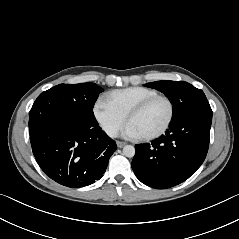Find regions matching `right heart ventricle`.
Returning <instances> with one entry per match:
<instances>
[{
	"instance_id": "1",
	"label": "right heart ventricle",
	"mask_w": 239,
	"mask_h": 239,
	"mask_svg": "<svg viewBox=\"0 0 239 239\" xmlns=\"http://www.w3.org/2000/svg\"><path fill=\"white\" fill-rule=\"evenodd\" d=\"M159 94L157 90L143 86L116 89L106 94L105 100L127 116L129 111L143 100Z\"/></svg>"
}]
</instances>
